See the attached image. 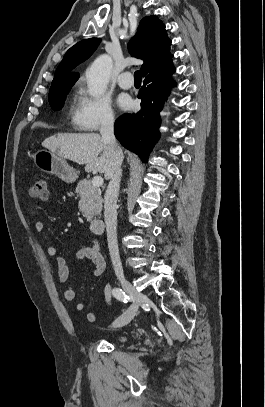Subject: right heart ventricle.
I'll use <instances>...</instances> for the list:
<instances>
[{"mask_svg": "<svg viewBox=\"0 0 265 407\" xmlns=\"http://www.w3.org/2000/svg\"><path fill=\"white\" fill-rule=\"evenodd\" d=\"M70 114L72 115L73 123L76 125V122H75V113L73 112V110L70 111ZM76 126H77V125H76Z\"/></svg>", "mask_w": 265, "mask_h": 407, "instance_id": "right-heart-ventricle-1", "label": "right heart ventricle"}]
</instances>
